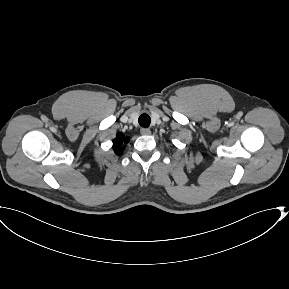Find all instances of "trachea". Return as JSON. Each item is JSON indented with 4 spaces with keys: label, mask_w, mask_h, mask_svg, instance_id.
I'll return each mask as SVG.
<instances>
[{
    "label": "trachea",
    "mask_w": 289,
    "mask_h": 289,
    "mask_svg": "<svg viewBox=\"0 0 289 289\" xmlns=\"http://www.w3.org/2000/svg\"><path fill=\"white\" fill-rule=\"evenodd\" d=\"M138 121H139V125L141 127L147 128V127H149V125L151 123V118L148 114L144 113V114L140 115Z\"/></svg>",
    "instance_id": "1"
}]
</instances>
